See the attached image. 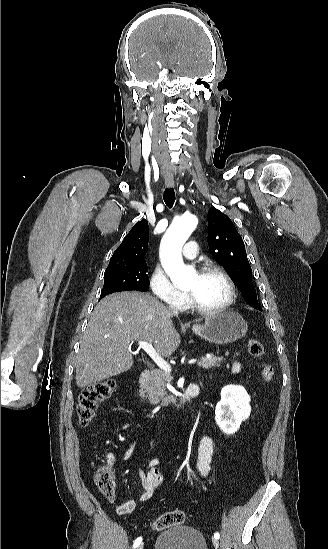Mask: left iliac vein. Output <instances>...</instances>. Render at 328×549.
Returning a JSON list of instances; mask_svg holds the SVG:
<instances>
[{
    "mask_svg": "<svg viewBox=\"0 0 328 549\" xmlns=\"http://www.w3.org/2000/svg\"><path fill=\"white\" fill-rule=\"evenodd\" d=\"M212 544H213L215 547H218V545H219L218 539L213 538V539H212Z\"/></svg>",
    "mask_w": 328,
    "mask_h": 549,
    "instance_id": "obj_1",
    "label": "left iliac vein"
}]
</instances>
